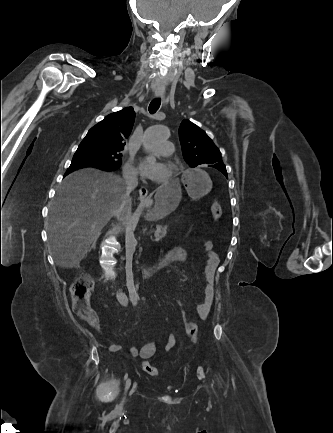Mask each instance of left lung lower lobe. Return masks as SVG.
Instances as JSON below:
<instances>
[{
  "instance_id": "left-lung-lower-lobe-1",
  "label": "left lung lower lobe",
  "mask_w": 333,
  "mask_h": 433,
  "mask_svg": "<svg viewBox=\"0 0 333 433\" xmlns=\"http://www.w3.org/2000/svg\"><path fill=\"white\" fill-rule=\"evenodd\" d=\"M211 167L218 169L219 171H224L219 165H211Z\"/></svg>"
}]
</instances>
